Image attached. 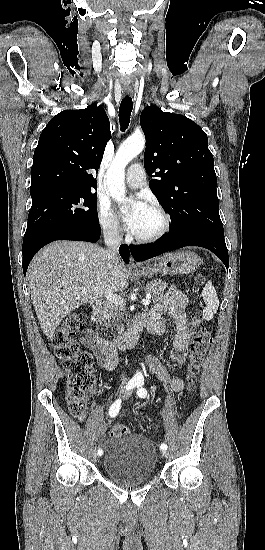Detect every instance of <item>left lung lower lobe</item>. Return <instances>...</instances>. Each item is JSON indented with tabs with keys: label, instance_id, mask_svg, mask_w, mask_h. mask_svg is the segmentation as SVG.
<instances>
[{
	"label": "left lung lower lobe",
	"instance_id": "1",
	"mask_svg": "<svg viewBox=\"0 0 265 550\" xmlns=\"http://www.w3.org/2000/svg\"><path fill=\"white\" fill-rule=\"evenodd\" d=\"M184 246H200L209 249L219 257L228 270L229 257L224 236L202 229L169 232L157 243L130 245V252L136 261H144Z\"/></svg>",
	"mask_w": 265,
	"mask_h": 550
}]
</instances>
